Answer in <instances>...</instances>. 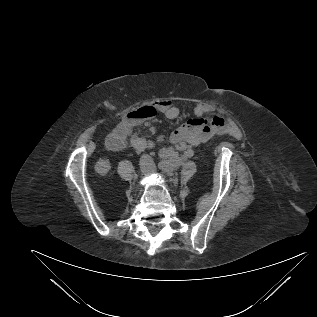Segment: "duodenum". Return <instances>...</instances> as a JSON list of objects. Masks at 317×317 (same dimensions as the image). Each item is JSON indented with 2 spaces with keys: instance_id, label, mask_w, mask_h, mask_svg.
<instances>
[{
  "instance_id": "obj_1",
  "label": "duodenum",
  "mask_w": 317,
  "mask_h": 317,
  "mask_svg": "<svg viewBox=\"0 0 317 317\" xmlns=\"http://www.w3.org/2000/svg\"><path fill=\"white\" fill-rule=\"evenodd\" d=\"M120 141H121L120 138H118V137H113L112 140H111V145H112L113 147H117V145L119 144Z\"/></svg>"
}]
</instances>
